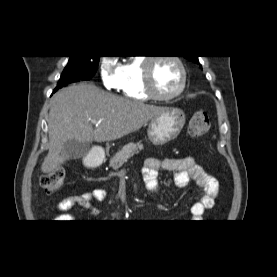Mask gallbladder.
Segmentation results:
<instances>
[{
  "label": "gallbladder",
  "mask_w": 277,
  "mask_h": 277,
  "mask_svg": "<svg viewBox=\"0 0 277 277\" xmlns=\"http://www.w3.org/2000/svg\"><path fill=\"white\" fill-rule=\"evenodd\" d=\"M89 151V142H79L72 139L65 143V153L68 155L69 159H79L87 155Z\"/></svg>",
  "instance_id": "obj_1"
}]
</instances>
